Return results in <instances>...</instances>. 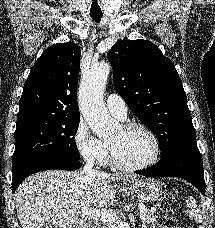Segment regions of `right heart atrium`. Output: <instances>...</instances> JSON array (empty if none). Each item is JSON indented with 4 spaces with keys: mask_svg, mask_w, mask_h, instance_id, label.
I'll list each match as a JSON object with an SVG mask.
<instances>
[{
    "mask_svg": "<svg viewBox=\"0 0 215 228\" xmlns=\"http://www.w3.org/2000/svg\"><path fill=\"white\" fill-rule=\"evenodd\" d=\"M72 140L78 156L83 161L98 164L105 160L108 152L106 146L92 133L83 117L78 119Z\"/></svg>",
    "mask_w": 215,
    "mask_h": 228,
    "instance_id": "d8ad5b80",
    "label": "right heart atrium"
}]
</instances>
